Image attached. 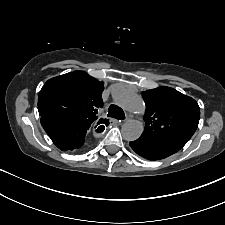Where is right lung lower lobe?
<instances>
[{
	"mask_svg": "<svg viewBox=\"0 0 225 225\" xmlns=\"http://www.w3.org/2000/svg\"><path fill=\"white\" fill-rule=\"evenodd\" d=\"M41 125L52 142L62 151L81 152L87 148L90 125L58 116H41Z\"/></svg>",
	"mask_w": 225,
	"mask_h": 225,
	"instance_id": "98d812e1",
	"label": "right lung lower lobe"
}]
</instances>
